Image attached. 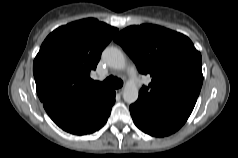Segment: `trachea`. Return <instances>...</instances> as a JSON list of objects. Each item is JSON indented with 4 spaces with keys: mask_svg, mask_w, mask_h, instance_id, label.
<instances>
[{
    "mask_svg": "<svg viewBox=\"0 0 238 158\" xmlns=\"http://www.w3.org/2000/svg\"><path fill=\"white\" fill-rule=\"evenodd\" d=\"M95 85H102V86H106L109 88H114V89H118L121 88L123 86V81L117 77L114 76H109L105 81L103 82H93Z\"/></svg>",
    "mask_w": 238,
    "mask_h": 158,
    "instance_id": "trachea-1",
    "label": "trachea"
}]
</instances>
